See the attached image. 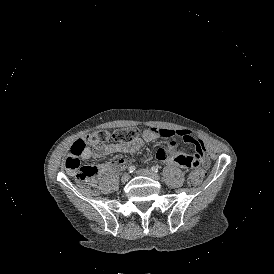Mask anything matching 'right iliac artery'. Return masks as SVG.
Returning <instances> with one entry per match:
<instances>
[{
  "mask_svg": "<svg viewBox=\"0 0 274 274\" xmlns=\"http://www.w3.org/2000/svg\"><path fill=\"white\" fill-rule=\"evenodd\" d=\"M135 166H133V165H131L129 168H128V171H129V173H132V172H134L135 171Z\"/></svg>",
  "mask_w": 274,
  "mask_h": 274,
  "instance_id": "82829eb1",
  "label": "right iliac artery"
}]
</instances>
